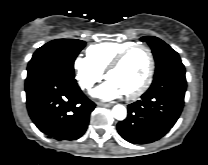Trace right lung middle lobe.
I'll return each mask as SVG.
<instances>
[{"label": "right lung middle lobe", "instance_id": "dd1d6c3e", "mask_svg": "<svg viewBox=\"0 0 208 165\" xmlns=\"http://www.w3.org/2000/svg\"><path fill=\"white\" fill-rule=\"evenodd\" d=\"M84 46L85 42L77 39H57L43 45L28 63L26 80L46 71L74 77V60Z\"/></svg>", "mask_w": 208, "mask_h": 165}]
</instances>
